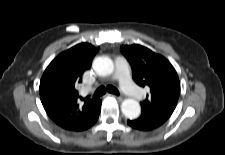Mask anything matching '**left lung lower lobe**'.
<instances>
[{"mask_svg": "<svg viewBox=\"0 0 225 155\" xmlns=\"http://www.w3.org/2000/svg\"><path fill=\"white\" fill-rule=\"evenodd\" d=\"M165 121L157 120V119H149V120H128L127 123L130 127L137 130L142 131H149L158 128L161 126Z\"/></svg>", "mask_w": 225, "mask_h": 155, "instance_id": "left-lung-lower-lobe-1", "label": "left lung lower lobe"}]
</instances>
